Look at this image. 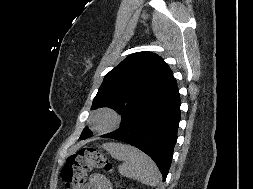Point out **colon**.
Segmentation results:
<instances>
[{
	"label": "colon",
	"instance_id": "colon-1",
	"mask_svg": "<svg viewBox=\"0 0 253 189\" xmlns=\"http://www.w3.org/2000/svg\"><path fill=\"white\" fill-rule=\"evenodd\" d=\"M92 169L111 172L112 164L104 153L93 147L81 148L71 154L61 172L65 187L67 189H83L87 174Z\"/></svg>",
	"mask_w": 253,
	"mask_h": 189
}]
</instances>
